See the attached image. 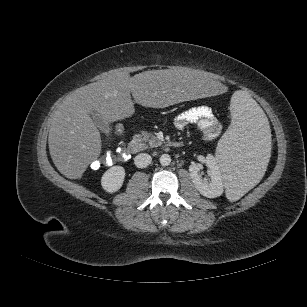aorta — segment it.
I'll list each match as a JSON object with an SVG mask.
<instances>
[{"instance_id": "1", "label": "aorta", "mask_w": 307, "mask_h": 307, "mask_svg": "<svg viewBox=\"0 0 307 307\" xmlns=\"http://www.w3.org/2000/svg\"><path fill=\"white\" fill-rule=\"evenodd\" d=\"M159 160L162 166H168L171 163V157L168 154L161 155Z\"/></svg>"}]
</instances>
